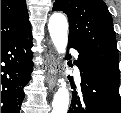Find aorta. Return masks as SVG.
Returning <instances> with one entry per match:
<instances>
[{
	"label": "aorta",
	"instance_id": "1",
	"mask_svg": "<svg viewBox=\"0 0 121 113\" xmlns=\"http://www.w3.org/2000/svg\"><path fill=\"white\" fill-rule=\"evenodd\" d=\"M52 42L59 54H64L68 43V22L61 13L51 15L48 23ZM69 105V92L66 83L61 80L59 89L54 95L52 113H67Z\"/></svg>",
	"mask_w": 121,
	"mask_h": 113
}]
</instances>
